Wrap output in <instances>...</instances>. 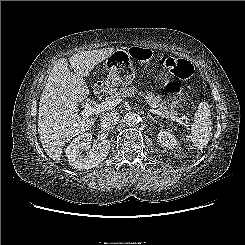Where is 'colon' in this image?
<instances>
[{"mask_svg":"<svg viewBox=\"0 0 245 245\" xmlns=\"http://www.w3.org/2000/svg\"><path fill=\"white\" fill-rule=\"evenodd\" d=\"M130 54L141 60L149 59L151 56L149 50L140 48H132ZM162 65L181 80L189 79L194 73L192 64L184 59L165 56L162 58ZM164 92L168 95H177L180 92V85L177 82L167 83L164 86Z\"/></svg>","mask_w":245,"mask_h":245,"instance_id":"obj_1","label":"colon"}]
</instances>
